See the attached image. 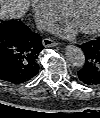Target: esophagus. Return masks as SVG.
<instances>
[{
    "mask_svg": "<svg viewBox=\"0 0 100 118\" xmlns=\"http://www.w3.org/2000/svg\"><path fill=\"white\" fill-rule=\"evenodd\" d=\"M42 43H43L44 47H54V46L59 45L58 42H56L50 38L43 39Z\"/></svg>",
    "mask_w": 100,
    "mask_h": 118,
    "instance_id": "obj_1",
    "label": "esophagus"
}]
</instances>
